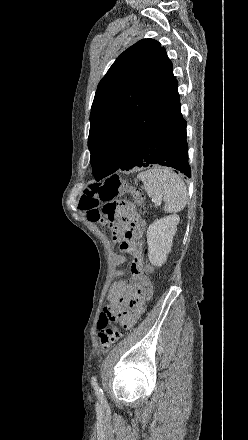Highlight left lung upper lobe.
I'll return each instance as SVG.
<instances>
[{"label": "left lung upper lobe", "instance_id": "5c2ea615", "mask_svg": "<svg viewBox=\"0 0 248 440\" xmlns=\"http://www.w3.org/2000/svg\"><path fill=\"white\" fill-rule=\"evenodd\" d=\"M178 83L164 47L142 39L100 81L90 113L88 147L97 181L115 172L132 145L179 104Z\"/></svg>", "mask_w": 248, "mask_h": 440}]
</instances>
